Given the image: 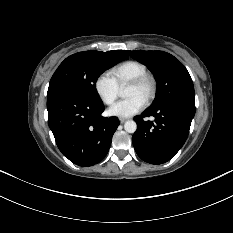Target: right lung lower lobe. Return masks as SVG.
<instances>
[{
	"label": "right lung lower lobe",
	"instance_id": "1",
	"mask_svg": "<svg viewBox=\"0 0 233 233\" xmlns=\"http://www.w3.org/2000/svg\"><path fill=\"white\" fill-rule=\"evenodd\" d=\"M103 103L77 97H47L48 125L62 154L79 166H92L107 155L119 126L116 117L104 118Z\"/></svg>",
	"mask_w": 233,
	"mask_h": 233
}]
</instances>
